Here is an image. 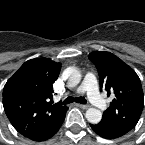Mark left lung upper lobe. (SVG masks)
I'll list each match as a JSON object with an SVG mask.
<instances>
[{"mask_svg": "<svg viewBox=\"0 0 145 145\" xmlns=\"http://www.w3.org/2000/svg\"><path fill=\"white\" fill-rule=\"evenodd\" d=\"M88 57L98 70L100 90L113 98L99 124L125 135L136 126L143 110L140 79L130 66L110 52L94 51Z\"/></svg>", "mask_w": 145, "mask_h": 145, "instance_id": "left-lung-upper-lobe-1", "label": "left lung upper lobe"}]
</instances>
